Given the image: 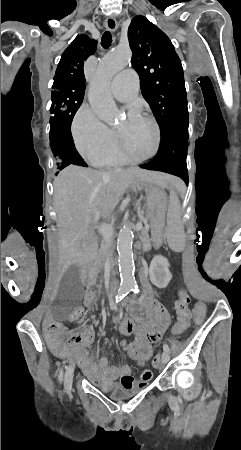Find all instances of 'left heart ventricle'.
Listing matches in <instances>:
<instances>
[{
	"instance_id": "left-heart-ventricle-1",
	"label": "left heart ventricle",
	"mask_w": 241,
	"mask_h": 450,
	"mask_svg": "<svg viewBox=\"0 0 241 450\" xmlns=\"http://www.w3.org/2000/svg\"><path fill=\"white\" fill-rule=\"evenodd\" d=\"M155 122L148 113L137 114L133 121H125L123 124L128 156L132 160H149L152 152V140L155 137L156 127H152Z\"/></svg>"
}]
</instances>
